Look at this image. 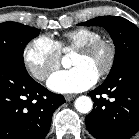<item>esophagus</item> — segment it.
<instances>
[{"label":"esophagus","mask_w":139,"mask_h":139,"mask_svg":"<svg viewBox=\"0 0 139 139\" xmlns=\"http://www.w3.org/2000/svg\"><path fill=\"white\" fill-rule=\"evenodd\" d=\"M74 98H75V95H72V94L65 95L66 101H72Z\"/></svg>","instance_id":"1"}]
</instances>
